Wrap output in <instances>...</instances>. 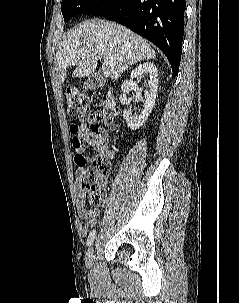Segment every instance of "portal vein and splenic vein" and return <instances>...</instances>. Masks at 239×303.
Wrapping results in <instances>:
<instances>
[{
	"label": "portal vein and splenic vein",
	"mask_w": 239,
	"mask_h": 303,
	"mask_svg": "<svg viewBox=\"0 0 239 303\" xmlns=\"http://www.w3.org/2000/svg\"><path fill=\"white\" fill-rule=\"evenodd\" d=\"M104 63H105V64H109V63H110V59L105 58V59H104Z\"/></svg>",
	"instance_id": "obj_1"
}]
</instances>
